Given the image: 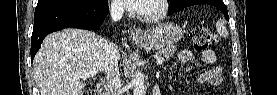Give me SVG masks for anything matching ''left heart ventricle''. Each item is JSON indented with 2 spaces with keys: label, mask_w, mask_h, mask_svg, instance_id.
Masks as SVG:
<instances>
[{
  "label": "left heart ventricle",
  "mask_w": 277,
  "mask_h": 95,
  "mask_svg": "<svg viewBox=\"0 0 277 95\" xmlns=\"http://www.w3.org/2000/svg\"><path fill=\"white\" fill-rule=\"evenodd\" d=\"M160 8V5L158 1L156 0H146L142 7L140 8V11L144 14H152L156 13Z\"/></svg>",
  "instance_id": "1"
}]
</instances>
